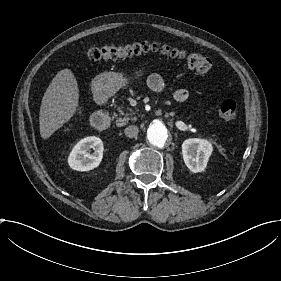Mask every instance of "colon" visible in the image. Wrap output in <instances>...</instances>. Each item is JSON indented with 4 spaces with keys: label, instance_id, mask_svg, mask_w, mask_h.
<instances>
[{
    "label": "colon",
    "instance_id": "1",
    "mask_svg": "<svg viewBox=\"0 0 281 281\" xmlns=\"http://www.w3.org/2000/svg\"><path fill=\"white\" fill-rule=\"evenodd\" d=\"M150 54L172 61L186 62L200 73L209 72L212 66L210 58L201 53L188 52L168 45L150 42L91 47L81 55V60L99 61L105 59H130ZM218 115L223 121H235L237 117L235 103L231 100L220 102L218 106Z\"/></svg>",
    "mask_w": 281,
    "mask_h": 281
}]
</instances>
